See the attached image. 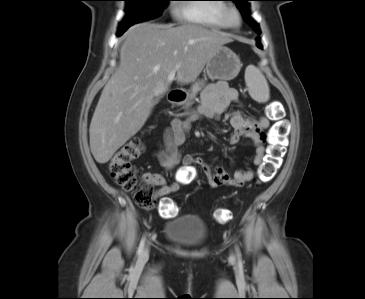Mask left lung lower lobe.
<instances>
[{"instance_id": "0a47b994", "label": "left lung lower lobe", "mask_w": 365, "mask_h": 299, "mask_svg": "<svg viewBox=\"0 0 365 299\" xmlns=\"http://www.w3.org/2000/svg\"><path fill=\"white\" fill-rule=\"evenodd\" d=\"M257 46H258L259 48H261V44H260V43H258V44H257Z\"/></svg>"}]
</instances>
